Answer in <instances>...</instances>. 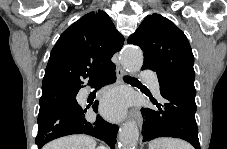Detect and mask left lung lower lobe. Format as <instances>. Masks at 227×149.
Instances as JSON below:
<instances>
[{
  "label": "left lung lower lobe",
  "instance_id": "1",
  "mask_svg": "<svg viewBox=\"0 0 227 149\" xmlns=\"http://www.w3.org/2000/svg\"><path fill=\"white\" fill-rule=\"evenodd\" d=\"M148 69V68H142ZM162 103L151 101L157 109L142 108L143 141L158 137L180 138L200 149L198 127L195 120V96L172 87L158 78Z\"/></svg>",
  "mask_w": 227,
  "mask_h": 149
}]
</instances>
